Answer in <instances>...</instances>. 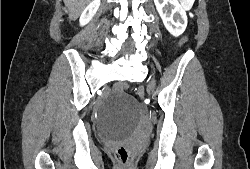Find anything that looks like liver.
I'll use <instances>...</instances> for the list:
<instances>
[{"label": "liver", "instance_id": "6515ba94", "mask_svg": "<svg viewBox=\"0 0 250 169\" xmlns=\"http://www.w3.org/2000/svg\"><path fill=\"white\" fill-rule=\"evenodd\" d=\"M89 2H91V0H64V4L69 10L68 18H70V20H76Z\"/></svg>", "mask_w": 250, "mask_h": 169}]
</instances>
